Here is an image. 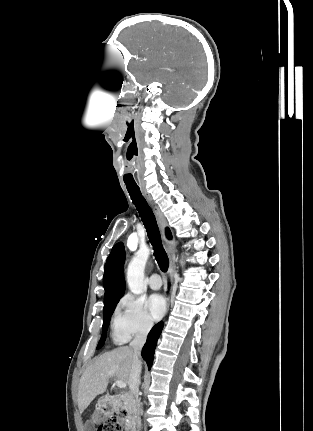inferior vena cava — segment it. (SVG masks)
<instances>
[{"label":"inferior vena cava","mask_w":313,"mask_h":431,"mask_svg":"<svg viewBox=\"0 0 313 431\" xmlns=\"http://www.w3.org/2000/svg\"><path fill=\"white\" fill-rule=\"evenodd\" d=\"M153 323L149 322L145 325V327L140 330L135 338L130 343V348L132 350V366H131V372L129 377V388H130V408L132 413L137 419L138 426L140 425V401L138 398V392H139V384H140V373H141V360H140V354L141 349L145 344L147 335L152 328Z\"/></svg>","instance_id":"1"}]
</instances>
